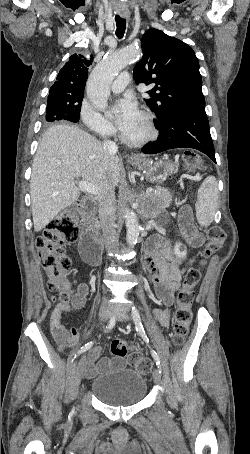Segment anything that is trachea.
<instances>
[{
  "label": "trachea",
  "instance_id": "3493384b",
  "mask_svg": "<svg viewBox=\"0 0 250 454\" xmlns=\"http://www.w3.org/2000/svg\"><path fill=\"white\" fill-rule=\"evenodd\" d=\"M115 21H116V36L121 39L123 38L124 36V33H125V29H126V20L119 17V16H116L115 17Z\"/></svg>",
  "mask_w": 250,
  "mask_h": 454
}]
</instances>
